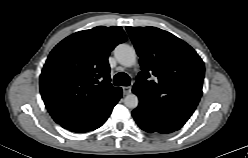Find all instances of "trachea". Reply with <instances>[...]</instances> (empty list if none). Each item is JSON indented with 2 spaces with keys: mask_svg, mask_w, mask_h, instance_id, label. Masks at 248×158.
I'll list each match as a JSON object with an SVG mask.
<instances>
[{
  "mask_svg": "<svg viewBox=\"0 0 248 158\" xmlns=\"http://www.w3.org/2000/svg\"><path fill=\"white\" fill-rule=\"evenodd\" d=\"M114 85L128 86L130 85V77L124 73L120 72L114 76Z\"/></svg>",
  "mask_w": 248,
  "mask_h": 158,
  "instance_id": "trachea-1",
  "label": "trachea"
}]
</instances>
